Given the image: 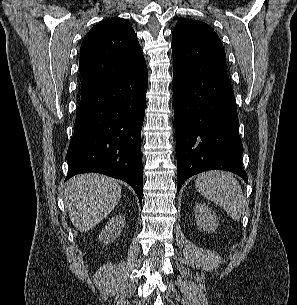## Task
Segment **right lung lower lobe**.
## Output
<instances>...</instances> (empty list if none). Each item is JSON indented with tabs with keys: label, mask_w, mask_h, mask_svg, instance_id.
<instances>
[{
	"label": "right lung lower lobe",
	"mask_w": 297,
	"mask_h": 305,
	"mask_svg": "<svg viewBox=\"0 0 297 305\" xmlns=\"http://www.w3.org/2000/svg\"><path fill=\"white\" fill-rule=\"evenodd\" d=\"M147 86L145 65L81 96L67 151L66 180L79 173H102L126 181L142 201L141 129Z\"/></svg>",
	"instance_id": "98d812e1"
}]
</instances>
